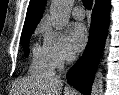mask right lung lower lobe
<instances>
[{
    "instance_id": "98d812e1",
    "label": "right lung lower lobe",
    "mask_w": 119,
    "mask_h": 95,
    "mask_svg": "<svg viewBox=\"0 0 119 95\" xmlns=\"http://www.w3.org/2000/svg\"><path fill=\"white\" fill-rule=\"evenodd\" d=\"M110 9V0L95 4L86 49L67 74L68 83L84 95L91 94L95 71L107 37Z\"/></svg>"
}]
</instances>
